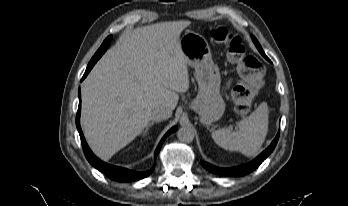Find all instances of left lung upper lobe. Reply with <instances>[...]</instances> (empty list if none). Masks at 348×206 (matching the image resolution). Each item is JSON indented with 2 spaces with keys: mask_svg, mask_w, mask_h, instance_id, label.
Returning <instances> with one entry per match:
<instances>
[{
  "mask_svg": "<svg viewBox=\"0 0 348 206\" xmlns=\"http://www.w3.org/2000/svg\"><path fill=\"white\" fill-rule=\"evenodd\" d=\"M252 39H253V41H254L256 47L258 48L259 52H260L267 60H269V59L267 58V56L265 55V53L263 52L262 47L260 46V44H259V42L257 41V39H256L255 37H252Z\"/></svg>",
  "mask_w": 348,
  "mask_h": 206,
  "instance_id": "5c2ea615",
  "label": "left lung upper lobe"
}]
</instances>
